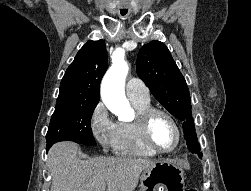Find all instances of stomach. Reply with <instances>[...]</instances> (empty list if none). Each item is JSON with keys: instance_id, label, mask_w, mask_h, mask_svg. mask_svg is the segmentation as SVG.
I'll return each mask as SVG.
<instances>
[{"instance_id": "1", "label": "stomach", "mask_w": 251, "mask_h": 191, "mask_svg": "<svg viewBox=\"0 0 251 191\" xmlns=\"http://www.w3.org/2000/svg\"><path fill=\"white\" fill-rule=\"evenodd\" d=\"M141 191H185L184 169L169 161H154L140 177Z\"/></svg>"}]
</instances>
